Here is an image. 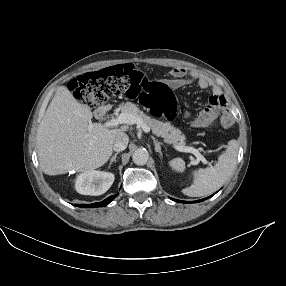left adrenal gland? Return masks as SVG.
Listing matches in <instances>:
<instances>
[{"mask_svg": "<svg viewBox=\"0 0 286 286\" xmlns=\"http://www.w3.org/2000/svg\"><path fill=\"white\" fill-rule=\"evenodd\" d=\"M153 142H154V145H155V151L158 152L160 154L161 157H163L162 155V151H161V142L157 141L155 139V137L151 136Z\"/></svg>", "mask_w": 286, "mask_h": 286, "instance_id": "1", "label": "left adrenal gland"}]
</instances>
